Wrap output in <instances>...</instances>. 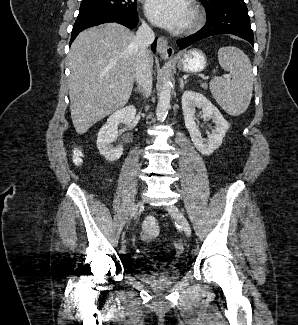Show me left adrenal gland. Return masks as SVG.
Returning a JSON list of instances; mask_svg holds the SVG:
<instances>
[{
  "mask_svg": "<svg viewBox=\"0 0 298 325\" xmlns=\"http://www.w3.org/2000/svg\"><path fill=\"white\" fill-rule=\"evenodd\" d=\"M179 80H180V88H181V90H183V88H184L186 82H188V80H184V78H179Z\"/></svg>",
  "mask_w": 298,
  "mask_h": 325,
  "instance_id": "left-adrenal-gland-1",
  "label": "left adrenal gland"
}]
</instances>
